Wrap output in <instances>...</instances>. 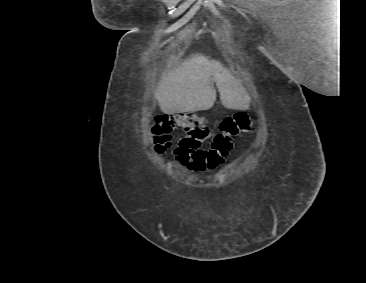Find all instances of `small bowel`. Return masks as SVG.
Listing matches in <instances>:
<instances>
[{
  "label": "small bowel",
  "mask_w": 366,
  "mask_h": 283,
  "mask_svg": "<svg viewBox=\"0 0 366 283\" xmlns=\"http://www.w3.org/2000/svg\"><path fill=\"white\" fill-rule=\"evenodd\" d=\"M172 145L171 136L169 135H159L154 136L152 138V149L156 154L162 155L164 154ZM233 147L224 146L222 149H219L220 151H217L216 157H215V165L210 167L209 169H214L216 166L223 163L225 157L229 154V152L232 150ZM226 150V154H221V151Z\"/></svg>",
  "instance_id": "small-bowel-1"
}]
</instances>
